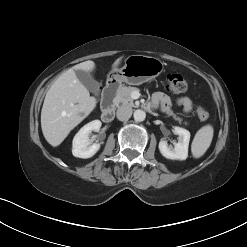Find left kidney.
Here are the masks:
<instances>
[{"label":"left kidney","mask_w":247,"mask_h":247,"mask_svg":"<svg viewBox=\"0 0 247 247\" xmlns=\"http://www.w3.org/2000/svg\"><path fill=\"white\" fill-rule=\"evenodd\" d=\"M173 133L178 135V143L174 147H168L167 142H159L160 153L167 159L186 160L188 157V146L190 141V132L181 127H175Z\"/></svg>","instance_id":"obj_1"}]
</instances>
